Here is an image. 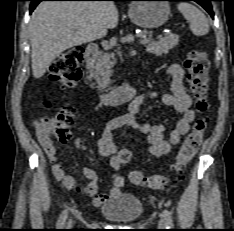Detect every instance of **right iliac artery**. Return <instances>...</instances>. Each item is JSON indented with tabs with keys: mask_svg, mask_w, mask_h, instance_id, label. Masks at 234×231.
I'll use <instances>...</instances> for the list:
<instances>
[{
	"mask_svg": "<svg viewBox=\"0 0 234 231\" xmlns=\"http://www.w3.org/2000/svg\"><path fill=\"white\" fill-rule=\"evenodd\" d=\"M67 210H64L62 213H61V215H60V217H59V219H58V221H57V227L58 228H63L64 227V224H65V221H66V218H67Z\"/></svg>",
	"mask_w": 234,
	"mask_h": 231,
	"instance_id": "obj_1",
	"label": "right iliac artery"
}]
</instances>
